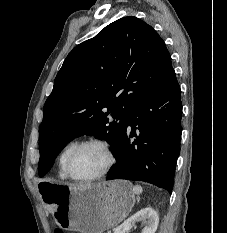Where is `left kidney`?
I'll list each match as a JSON object with an SVG mask.
<instances>
[{
  "label": "left kidney",
  "mask_w": 227,
  "mask_h": 233,
  "mask_svg": "<svg viewBox=\"0 0 227 233\" xmlns=\"http://www.w3.org/2000/svg\"><path fill=\"white\" fill-rule=\"evenodd\" d=\"M138 221H142L146 225L142 233H155L158 227L159 217L152 208H144L128 218L114 233H129Z\"/></svg>",
  "instance_id": "5707ae66"
}]
</instances>
